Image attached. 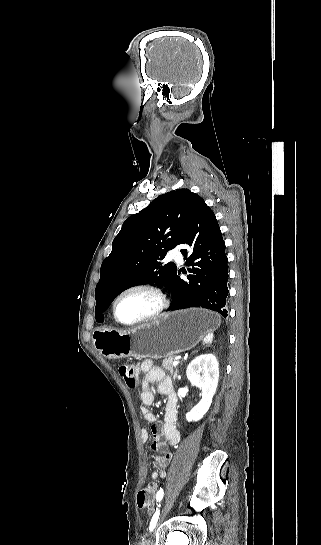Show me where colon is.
Segmentation results:
<instances>
[{
  "instance_id": "1",
  "label": "colon",
  "mask_w": 321,
  "mask_h": 545,
  "mask_svg": "<svg viewBox=\"0 0 321 545\" xmlns=\"http://www.w3.org/2000/svg\"><path fill=\"white\" fill-rule=\"evenodd\" d=\"M119 372L123 376L126 385L129 388H135L138 383L137 369L133 363H124L119 367ZM158 487L156 484H149L143 487L137 495V505L141 509L152 511L156 504Z\"/></svg>"
}]
</instances>
